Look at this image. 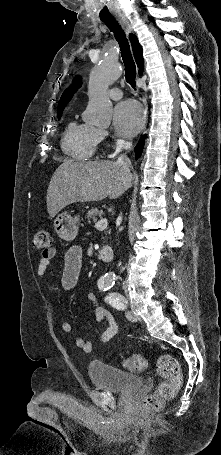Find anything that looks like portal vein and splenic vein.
Listing matches in <instances>:
<instances>
[{
	"instance_id": "18ae733b",
	"label": "portal vein and splenic vein",
	"mask_w": 221,
	"mask_h": 455,
	"mask_svg": "<svg viewBox=\"0 0 221 455\" xmlns=\"http://www.w3.org/2000/svg\"><path fill=\"white\" fill-rule=\"evenodd\" d=\"M107 225H108V220L106 218H102L95 224V227L98 229H105L107 227Z\"/></svg>"
}]
</instances>
